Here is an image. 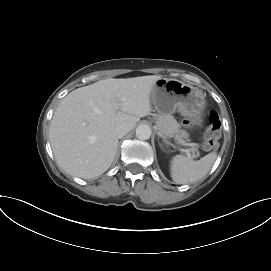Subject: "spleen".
<instances>
[{
    "label": "spleen",
    "mask_w": 271,
    "mask_h": 271,
    "mask_svg": "<svg viewBox=\"0 0 271 271\" xmlns=\"http://www.w3.org/2000/svg\"><path fill=\"white\" fill-rule=\"evenodd\" d=\"M216 158V152H211L197 161L183 155H176L172 158L170 166L172 180L177 184L196 182L208 173Z\"/></svg>",
    "instance_id": "spleen-1"
}]
</instances>
